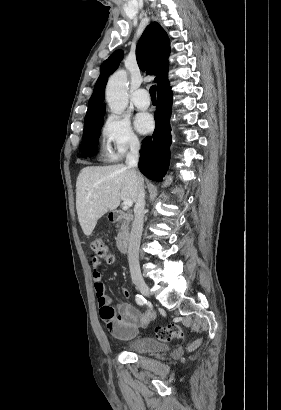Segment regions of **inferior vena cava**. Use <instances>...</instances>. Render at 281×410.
<instances>
[{
  "instance_id": "1",
  "label": "inferior vena cava",
  "mask_w": 281,
  "mask_h": 410,
  "mask_svg": "<svg viewBox=\"0 0 281 410\" xmlns=\"http://www.w3.org/2000/svg\"><path fill=\"white\" fill-rule=\"evenodd\" d=\"M140 143L134 142L130 146V152L126 157V165L133 170L138 176V196L134 208V222L129 237L128 244V260L132 280L142 279L139 267V246L144 223V209H145V191L143 188L142 178L137 170L139 159Z\"/></svg>"
}]
</instances>
